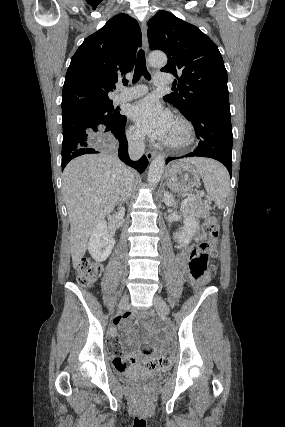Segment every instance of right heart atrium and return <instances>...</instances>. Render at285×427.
Wrapping results in <instances>:
<instances>
[{"label": "right heart atrium", "instance_id": "1", "mask_svg": "<svg viewBox=\"0 0 285 427\" xmlns=\"http://www.w3.org/2000/svg\"><path fill=\"white\" fill-rule=\"evenodd\" d=\"M128 137L134 144H141L144 140L142 132L134 126L129 129Z\"/></svg>", "mask_w": 285, "mask_h": 427}]
</instances>
